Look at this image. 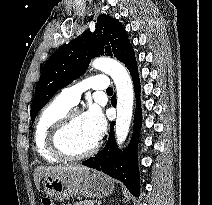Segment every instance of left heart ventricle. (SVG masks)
I'll return each instance as SVG.
<instances>
[{
  "mask_svg": "<svg viewBox=\"0 0 212 205\" xmlns=\"http://www.w3.org/2000/svg\"><path fill=\"white\" fill-rule=\"evenodd\" d=\"M96 141L86 127L82 115L75 116L64 137L66 150L73 154H79L88 150Z\"/></svg>",
  "mask_w": 212,
  "mask_h": 205,
  "instance_id": "b2bd125f",
  "label": "left heart ventricle"
}]
</instances>
